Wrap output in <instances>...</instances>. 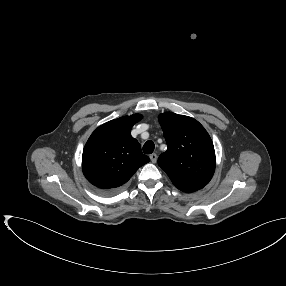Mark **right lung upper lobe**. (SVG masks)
<instances>
[{"label": "right lung upper lobe", "instance_id": "1", "mask_svg": "<svg viewBox=\"0 0 286 286\" xmlns=\"http://www.w3.org/2000/svg\"><path fill=\"white\" fill-rule=\"evenodd\" d=\"M141 118L142 115L134 114L109 121L88 139L82 155V170L100 191H115L150 161L131 136L132 126Z\"/></svg>", "mask_w": 286, "mask_h": 286}]
</instances>
